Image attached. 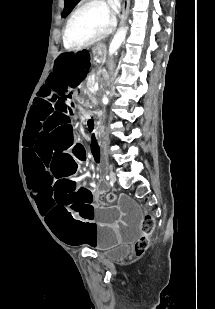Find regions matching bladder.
<instances>
[{
	"label": "bladder",
	"instance_id": "1",
	"mask_svg": "<svg viewBox=\"0 0 215 309\" xmlns=\"http://www.w3.org/2000/svg\"><path fill=\"white\" fill-rule=\"evenodd\" d=\"M127 254H128V249L121 247V248H116V249H113L107 252L106 257L110 260L116 261V260L123 259L124 257L127 256Z\"/></svg>",
	"mask_w": 215,
	"mask_h": 309
}]
</instances>
